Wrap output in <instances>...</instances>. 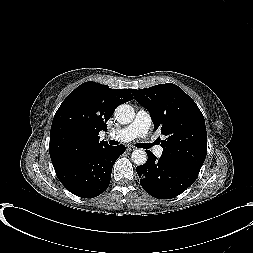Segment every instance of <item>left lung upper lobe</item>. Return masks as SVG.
<instances>
[{
    "mask_svg": "<svg viewBox=\"0 0 253 253\" xmlns=\"http://www.w3.org/2000/svg\"><path fill=\"white\" fill-rule=\"evenodd\" d=\"M135 100L150 113L154 129H160L162 156L201 169L207 154L204 117L192 98L175 84L131 89Z\"/></svg>",
    "mask_w": 253,
    "mask_h": 253,
    "instance_id": "5c2ea615",
    "label": "left lung upper lobe"
}]
</instances>
